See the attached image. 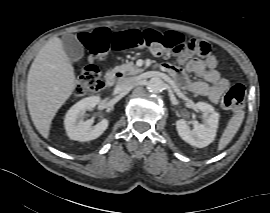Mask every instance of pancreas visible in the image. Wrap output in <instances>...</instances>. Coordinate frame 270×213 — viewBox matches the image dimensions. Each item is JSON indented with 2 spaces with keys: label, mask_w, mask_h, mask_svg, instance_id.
Listing matches in <instances>:
<instances>
[{
  "label": "pancreas",
  "mask_w": 270,
  "mask_h": 213,
  "mask_svg": "<svg viewBox=\"0 0 270 213\" xmlns=\"http://www.w3.org/2000/svg\"><path fill=\"white\" fill-rule=\"evenodd\" d=\"M115 70L121 72L123 75L129 76L137 75L144 71L143 69L138 68L136 65H134L133 62L119 65L115 68Z\"/></svg>",
  "instance_id": "pancreas-1"
}]
</instances>
